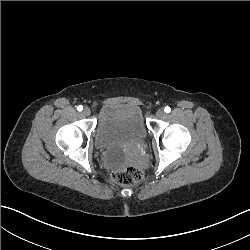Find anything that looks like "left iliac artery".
I'll return each mask as SVG.
<instances>
[{
    "instance_id": "1",
    "label": "left iliac artery",
    "mask_w": 250,
    "mask_h": 250,
    "mask_svg": "<svg viewBox=\"0 0 250 250\" xmlns=\"http://www.w3.org/2000/svg\"><path fill=\"white\" fill-rule=\"evenodd\" d=\"M164 111H165L166 113H170L171 108H170V107H168V106H166V107H165V109H164Z\"/></svg>"
}]
</instances>
